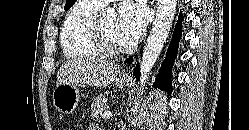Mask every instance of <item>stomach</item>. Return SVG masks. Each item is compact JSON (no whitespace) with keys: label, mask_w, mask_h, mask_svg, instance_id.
<instances>
[{"label":"stomach","mask_w":249,"mask_h":130,"mask_svg":"<svg viewBox=\"0 0 249 130\" xmlns=\"http://www.w3.org/2000/svg\"><path fill=\"white\" fill-rule=\"evenodd\" d=\"M129 83V79L119 76L116 84L120 88L125 87ZM80 92L77 84H61L56 86L53 92V104L55 108L63 113H72L78 105Z\"/></svg>","instance_id":"obj_1"}]
</instances>
